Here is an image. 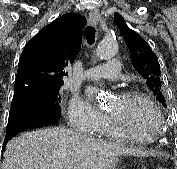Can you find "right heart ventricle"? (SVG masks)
I'll return each mask as SVG.
<instances>
[{
  "label": "right heart ventricle",
  "mask_w": 177,
  "mask_h": 169,
  "mask_svg": "<svg viewBox=\"0 0 177 169\" xmlns=\"http://www.w3.org/2000/svg\"><path fill=\"white\" fill-rule=\"evenodd\" d=\"M100 136L113 139V140H125V138L113 125L110 119H107L102 129L99 132ZM142 143H148L151 141H139Z\"/></svg>",
  "instance_id": "e07e8e85"
}]
</instances>
